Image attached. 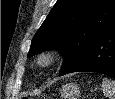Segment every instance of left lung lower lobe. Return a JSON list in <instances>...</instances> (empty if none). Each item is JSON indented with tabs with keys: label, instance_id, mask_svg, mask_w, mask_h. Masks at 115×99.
<instances>
[{
	"label": "left lung lower lobe",
	"instance_id": "left-lung-lower-lobe-1",
	"mask_svg": "<svg viewBox=\"0 0 115 99\" xmlns=\"http://www.w3.org/2000/svg\"><path fill=\"white\" fill-rule=\"evenodd\" d=\"M78 71L98 72L115 78V24L85 52L67 73Z\"/></svg>",
	"mask_w": 115,
	"mask_h": 99
}]
</instances>
